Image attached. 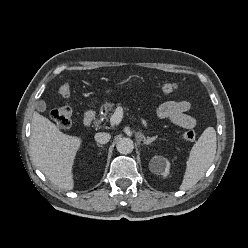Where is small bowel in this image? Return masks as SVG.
I'll return each instance as SVG.
<instances>
[{
    "label": "small bowel",
    "instance_id": "1",
    "mask_svg": "<svg viewBox=\"0 0 248 248\" xmlns=\"http://www.w3.org/2000/svg\"><path fill=\"white\" fill-rule=\"evenodd\" d=\"M191 104L188 101H167L161 104L155 111L157 117L168 119L172 124L191 129L195 127L196 120L188 113Z\"/></svg>",
    "mask_w": 248,
    "mask_h": 248
}]
</instances>
